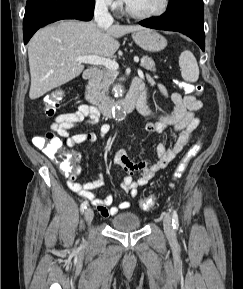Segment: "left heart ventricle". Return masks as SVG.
Instances as JSON below:
<instances>
[{"label": "left heart ventricle", "mask_w": 243, "mask_h": 289, "mask_svg": "<svg viewBox=\"0 0 243 289\" xmlns=\"http://www.w3.org/2000/svg\"><path fill=\"white\" fill-rule=\"evenodd\" d=\"M131 10L137 13H149L157 10L162 0H127Z\"/></svg>", "instance_id": "left-heart-ventricle-1"}]
</instances>
